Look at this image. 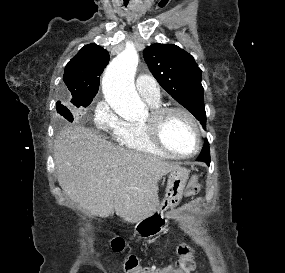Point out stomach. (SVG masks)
Returning a JSON list of instances; mask_svg holds the SVG:
<instances>
[{
  "label": "stomach",
  "instance_id": "obj_1",
  "mask_svg": "<svg viewBox=\"0 0 285 273\" xmlns=\"http://www.w3.org/2000/svg\"><path fill=\"white\" fill-rule=\"evenodd\" d=\"M188 178L189 170L186 168L179 167L170 171L165 196L158 210L151 216L139 221L136 225V230L140 235L154 236L162 230L163 225L160 226V229H155L154 223H166L167 220L164 217V213L179 204Z\"/></svg>",
  "mask_w": 285,
  "mask_h": 273
}]
</instances>
